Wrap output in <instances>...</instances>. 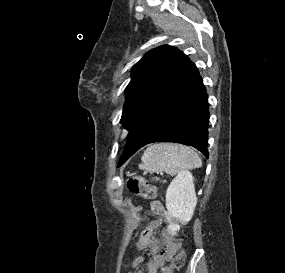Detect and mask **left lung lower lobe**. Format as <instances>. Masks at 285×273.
<instances>
[{"instance_id":"obj_1","label":"left lung lower lobe","mask_w":285,"mask_h":273,"mask_svg":"<svg viewBox=\"0 0 285 273\" xmlns=\"http://www.w3.org/2000/svg\"><path fill=\"white\" fill-rule=\"evenodd\" d=\"M208 123V96L195 64L188 60L176 83L130 128L118 167L153 142L187 144L208 158Z\"/></svg>"}]
</instances>
